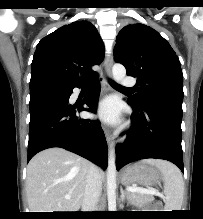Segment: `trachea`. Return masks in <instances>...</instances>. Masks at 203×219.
<instances>
[{"mask_svg":"<svg viewBox=\"0 0 203 219\" xmlns=\"http://www.w3.org/2000/svg\"><path fill=\"white\" fill-rule=\"evenodd\" d=\"M93 82H94V79H91V78H90V79L86 80L85 84H86V85H92ZM111 85H112L114 88H117V89L132 90L131 88H126V87H124V86H121V85H119V84L113 82V81H111Z\"/></svg>","mask_w":203,"mask_h":219,"instance_id":"1","label":"trachea"}]
</instances>
